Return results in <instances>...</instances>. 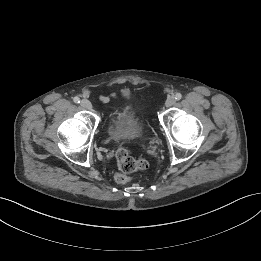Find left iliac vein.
Returning <instances> with one entry per match:
<instances>
[{
  "label": "left iliac vein",
  "instance_id": "left-iliac-vein-1",
  "mask_svg": "<svg viewBox=\"0 0 261 261\" xmlns=\"http://www.w3.org/2000/svg\"><path fill=\"white\" fill-rule=\"evenodd\" d=\"M176 100L174 96H169L165 102L166 107H171L175 104Z\"/></svg>",
  "mask_w": 261,
  "mask_h": 261
}]
</instances>
